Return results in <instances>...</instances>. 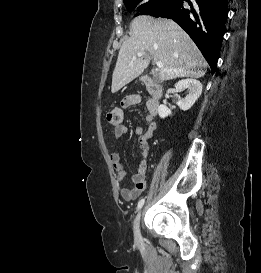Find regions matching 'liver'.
Instances as JSON below:
<instances>
[{
	"label": "liver",
	"mask_w": 261,
	"mask_h": 273,
	"mask_svg": "<svg viewBox=\"0 0 261 273\" xmlns=\"http://www.w3.org/2000/svg\"><path fill=\"white\" fill-rule=\"evenodd\" d=\"M141 57L134 58L137 53ZM162 62L159 80L176 78H201L205 75L207 63L189 35L174 21L155 19L141 15L131 22V36L119 51L112 76L111 92L140 76L150 60Z\"/></svg>",
	"instance_id": "1"
}]
</instances>
